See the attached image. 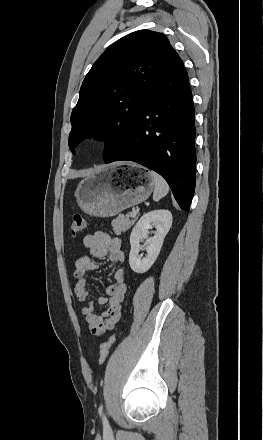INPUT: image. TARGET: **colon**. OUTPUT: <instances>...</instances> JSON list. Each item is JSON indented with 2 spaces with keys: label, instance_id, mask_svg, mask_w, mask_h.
<instances>
[{
  "label": "colon",
  "instance_id": "5ec220e1",
  "mask_svg": "<svg viewBox=\"0 0 263 440\" xmlns=\"http://www.w3.org/2000/svg\"><path fill=\"white\" fill-rule=\"evenodd\" d=\"M85 227H86V219L79 214L74 215L70 225L71 234L76 235L81 231H83ZM113 342H114V336H111L102 344L99 355L100 364L103 363L107 358V356L109 355Z\"/></svg>",
  "mask_w": 263,
  "mask_h": 440
}]
</instances>
